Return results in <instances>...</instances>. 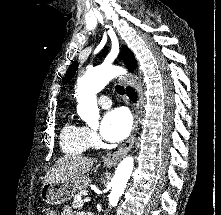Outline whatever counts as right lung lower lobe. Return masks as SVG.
I'll return each instance as SVG.
<instances>
[{
  "label": "right lung lower lobe",
  "instance_id": "98d812e1",
  "mask_svg": "<svg viewBox=\"0 0 221 215\" xmlns=\"http://www.w3.org/2000/svg\"><path fill=\"white\" fill-rule=\"evenodd\" d=\"M126 90H127V95L129 96V98L132 101H136L137 97H136V93L134 92V90L131 87H127Z\"/></svg>",
  "mask_w": 221,
  "mask_h": 215
}]
</instances>
